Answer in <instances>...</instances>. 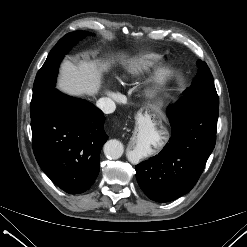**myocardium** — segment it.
<instances>
[{
	"instance_id": "obj_1",
	"label": "myocardium",
	"mask_w": 247,
	"mask_h": 247,
	"mask_svg": "<svg viewBox=\"0 0 247 247\" xmlns=\"http://www.w3.org/2000/svg\"><path fill=\"white\" fill-rule=\"evenodd\" d=\"M172 76V67L169 64L159 65L150 80L147 93L150 97H156L161 93Z\"/></svg>"
}]
</instances>
